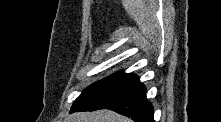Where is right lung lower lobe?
Returning <instances> with one entry per match:
<instances>
[{
	"label": "right lung lower lobe",
	"instance_id": "obj_1",
	"mask_svg": "<svg viewBox=\"0 0 221 122\" xmlns=\"http://www.w3.org/2000/svg\"><path fill=\"white\" fill-rule=\"evenodd\" d=\"M110 109L135 122H154L153 107L146 99V88L134 74L107 90L82 102L73 104L71 112Z\"/></svg>",
	"mask_w": 221,
	"mask_h": 122
}]
</instances>
